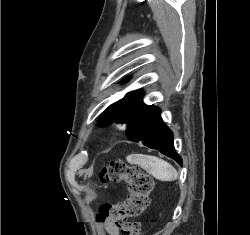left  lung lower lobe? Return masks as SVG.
I'll use <instances>...</instances> for the list:
<instances>
[{"instance_id": "left-lung-lower-lobe-1", "label": "left lung lower lobe", "mask_w": 250, "mask_h": 235, "mask_svg": "<svg viewBox=\"0 0 250 235\" xmlns=\"http://www.w3.org/2000/svg\"><path fill=\"white\" fill-rule=\"evenodd\" d=\"M141 94L129 110L127 133L131 141H142L151 149L173 158L182 166V158L176 153L172 131L161 118V110L143 103Z\"/></svg>"}]
</instances>
